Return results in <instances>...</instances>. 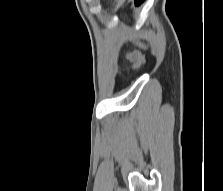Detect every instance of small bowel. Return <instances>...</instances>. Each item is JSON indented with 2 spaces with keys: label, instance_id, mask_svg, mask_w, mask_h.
Segmentation results:
<instances>
[{
  "label": "small bowel",
  "instance_id": "c3829d8e",
  "mask_svg": "<svg viewBox=\"0 0 223 191\" xmlns=\"http://www.w3.org/2000/svg\"><path fill=\"white\" fill-rule=\"evenodd\" d=\"M127 57L131 61L135 62L136 64H140L143 61V58H142L141 54L136 52V51L129 52L127 54Z\"/></svg>",
  "mask_w": 223,
  "mask_h": 191
}]
</instances>
